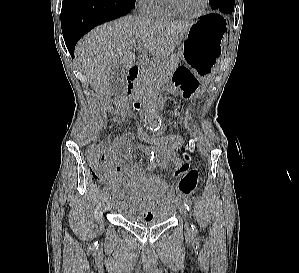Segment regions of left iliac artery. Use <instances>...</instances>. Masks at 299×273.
Here are the masks:
<instances>
[{
	"mask_svg": "<svg viewBox=\"0 0 299 273\" xmlns=\"http://www.w3.org/2000/svg\"><path fill=\"white\" fill-rule=\"evenodd\" d=\"M184 205L186 206V208L188 209V211L191 210V201L187 198L184 199ZM192 231H193V234H196L197 232V229H196V226L195 225H192Z\"/></svg>",
	"mask_w": 299,
	"mask_h": 273,
	"instance_id": "left-iliac-artery-1",
	"label": "left iliac artery"
}]
</instances>
